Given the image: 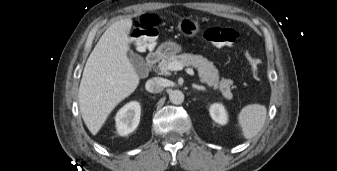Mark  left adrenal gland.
Here are the masks:
<instances>
[{
	"label": "left adrenal gland",
	"mask_w": 337,
	"mask_h": 171,
	"mask_svg": "<svg viewBox=\"0 0 337 171\" xmlns=\"http://www.w3.org/2000/svg\"><path fill=\"white\" fill-rule=\"evenodd\" d=\"M193 88L196 89V90H201V91H205L206 90L205 87L198 86V85H194Z\"/></svg>",
	"instance_id": "obj_1"
}]
</instances>
